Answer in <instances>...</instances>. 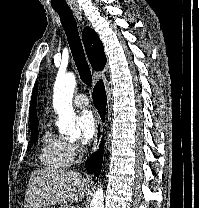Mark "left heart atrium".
I'll return each instance as SVG.
<instances>
[{"label": "left heart atrium", "instance_id": "1", "mask_svg": "<svg viewBox=\"0 0 199 208\" xmlns=\"http://www.w3.org/2000/svg\"><path fill=\"white\" fill-rule=\"evenodd\" d=\"M77 127L81 133L83 143H89L96 132V122L93 113L90 110H82L76 118Z\"/></svg>", "mask_w": 199, "mask_h": 208}]
</instances>
